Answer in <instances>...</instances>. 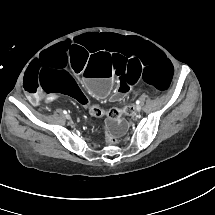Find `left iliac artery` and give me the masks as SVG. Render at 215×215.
Returning <instances> with one entry per match:
<instances>
[{
	"label": "left iliac artery",
	"mask_w": 215,
	"mask_h": 215,
	"mask_svg": "<svg viewBox=\"0 0 215 215\" xmlns=\"http://www.w3.org/2000/svg\"><path fill=\"white\" fill-rule=\"evenodd\" d=\"M137 106H140V100L136 101Z\"/></svg>",
	"instance_id": "obj_1"
}]
</instances>
